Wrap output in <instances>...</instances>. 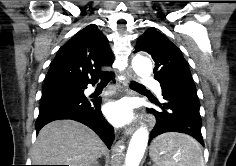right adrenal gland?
I'll use <instances>...</instances> for the list:
<instances>
[{
    "instance_id": "1",
    "label": "right adrenal gland",
    "mask_w": 236,
    "mask_h": 166,
    "mask_svg": "<svg viewBox=\"0 0 236 166\" xmlns=\"http://www.w3.org/2000/svg\"><path fill=\"white\" fill-rule=\"evenodd\" d=\"M92 166H100L98 161H96Z\"/></svg>"
}]
</instances>
